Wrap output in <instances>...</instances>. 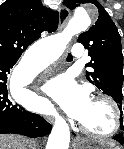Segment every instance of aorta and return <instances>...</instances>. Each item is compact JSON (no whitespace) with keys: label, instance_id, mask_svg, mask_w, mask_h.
Wrapping results in <instances>:
<instances>
[{"label":"aorta","instance_id":"aorta-1","mask_svg":"<svg viewBox=\"0 0 124 149\" xmlns=\"http://www.w3.org/2000/svg\"><path fill=\"white\" fill-rule=\"evenodd\" d=\"M90 24L91 19L88 13L84 9L79 8L75 11L63 32L46 38L42 42V45L57 52H63L72 36L75 33L86 30ZM31 59H23L15 68L11 78V87L17 84L21 87L24 86L26 83L24 81L25 76L32 72ZM53 113L56 120L48 138L46 149H68L70 142L69 126L62 117L57 115L54 111Z\"/></svg>","mask_w":124,"mask_h":149}]
</instances>
